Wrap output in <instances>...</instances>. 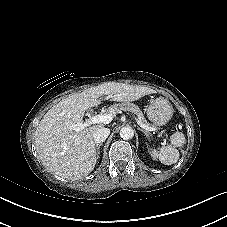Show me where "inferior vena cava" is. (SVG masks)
<instances>
[{
    "label": "inferior vena cava",
    "mask_w": 227,
    "mask_h": 227,
    "mask_svg": "<svg viewBox=\"0 0 227 227\" xmlns=\"http://www.w3.org/2000/svg\"><path fill=\"white\" fill-rule=\"evenodd\" d=\"M110 134L109 128H99L93 134V139L95 143H102L104 142Z\"/></svg>",
    "instance_id": "1"
}]
</instances>
